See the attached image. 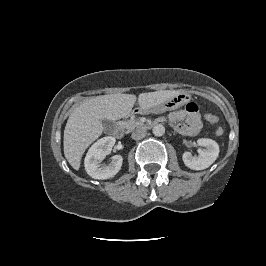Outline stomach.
I'll return each instance as SVG.
<instances>
[{
    "label": "stomach",
    "instance_id": "stomach-1",
    "mask_svg": "<svg viewBox=\"0 0 266 266\" xmlns=\"http://www.w3.org/2000/svg\"><path fill=\"white\" fill-rule=\"evenodd\" d=\"M188 98L189 95L187 93L180 92L179 94L170 98L169 100L151 108L150 111H153L155 113H164L168 110L173 109L174 107L184 104L185 102H187Z\"/></svg>",
    "mask_w": 266,
    "mask_h": 266
}]
</instances>
